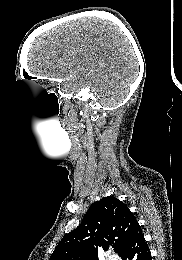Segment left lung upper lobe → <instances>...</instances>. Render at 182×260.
<instances>
[{
    "label": "left lung upper lobe",
    "instance_id": "obj_1",
    "mask_svg": "<svg viewBox=\"0 0 182 260\" xmlns=\"http://www.w3.org/2000/svg\"><path fill=\"white\" fill-rule=\"evenodd\" d=\"M139 224L122 201L113 196L93 203L81 224L56 246L50 260H98V250L106 251L111 242L120 256Z\"/></svg>",
    "mask_w": 182,
    "mask_h": 260
}]
</instances>
